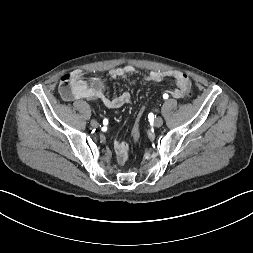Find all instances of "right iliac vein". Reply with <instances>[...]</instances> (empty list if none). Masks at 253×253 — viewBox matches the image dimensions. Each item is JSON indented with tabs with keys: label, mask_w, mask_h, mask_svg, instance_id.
<instances>
[{
	"label": "right iliac vein",
	"mask_w": 253,
	"mask_h": 253,
	"mask_svg": "<svg viewBox=\"0 0 253 253\" xmlns=\"http://www.w3.org/2000/svg\"><path fill=\"white\" fill-rule=\"evenodd\" d=\"M90 124H91L92 127H98L99 126V123L96 120H91Z\"/></svg>",
	"instance_id": "63e3f726"
}]
</instances>
